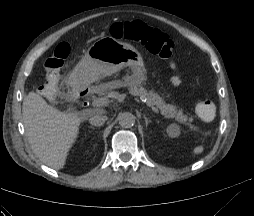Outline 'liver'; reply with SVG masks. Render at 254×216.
Listing matches in <instances>:
<instances>
[{
  "label": "liver",
  "mask_w": 254,
  "mask_h": 216,
  "mask_svg": "<svg viewBox=\"0 0 254 216\" xmlns=\"http://www.w3.org/2000/svg\"><path fill=\"white\" fill-rule=\"evenodd\" d=\"M22 112L28 142L35 155L47 166L62 169L85 116L59 111L34 92L24 97Z\"/></svg>",
  "instance_id": "liver-1"
}]
</instances>
